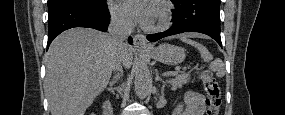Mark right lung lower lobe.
Listing matches in <instances>:
<instances>
[{"label": "right lung lower lobe", "instance_id": "obj_1", "mask_svg": "<svg viewBox=\"0 0 285 115\" xmlns=\"http://www.w3.org/2000/svg\"><path fill=\"white\" fill-rule=\"evenodd\" d=\"M48 43L61 32L73 27H88L106 31L110 22L107 6L92 7L80 3H67L48 10ZM132 39L129 38V43Z\"/></svg>", "mask_w": 285, "mask_h": 115}]
</instances>
